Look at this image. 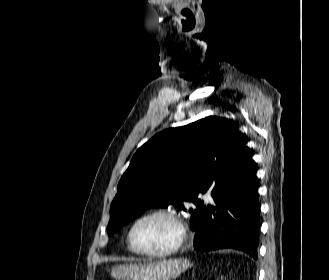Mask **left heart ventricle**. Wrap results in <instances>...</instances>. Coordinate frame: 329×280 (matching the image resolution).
<instances>
[{
    "mask_svg": "<svg viewBox=\"0 0 329 280\" xmlns=\"http://www.w3.org/2000/svg\"><path fill=\"white\" fill-rule=\"evenodd\" d=\"M176 236V229L170 220L153 217L142 221L136 227L133 240L140 249L159 251L170 247Z\"/></svg>",
    "mask_w": 329,
    "mask_h": 280,
    "instance_id": "left-heart-ventricle-1",
    "label": "left heart ventricle"
}]
</instances>
